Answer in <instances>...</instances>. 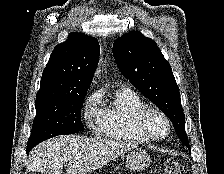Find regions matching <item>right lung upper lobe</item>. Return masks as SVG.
Returning <instances> with one entry per match:
<instances>
[{"label": "right lung upper lobe", "instance_id": "obj_1", "mask_svg": "<svg viewBox=\"0 0 224 174\" xmlns=\"http://www.w3.org/2000/svg\"><path fill=\"white\" fill-rule=\"evenodd\" d=\"M100 46L96 39L71 33L52 52L43 71L36 98H68L86 94L97 68Z\"/></svg>", "mask_w": 224, "mask_h": 174}]
</instances>
